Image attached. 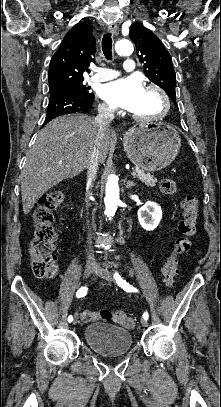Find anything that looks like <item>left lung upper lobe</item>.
<instances>
[{
  "label": "left lung upper lobe",
  "mask_w": 221,
  "mask_h": 407,
  "mask_svg": "<svg viewBox=\"0 0 221 407\" xmlns=\"http://www.w3.org/2000/svg\"><path fill=\"white\" fill-rule=\"evenodd\" d=\"M129 37L136 44V51L140 62L143 63L145 75L154 84L160 86L176 105V75L170 53L161 40L142 25L130 26Z\"/></svg>",
  "instance_id": "obj_1"
}]
</instances>
